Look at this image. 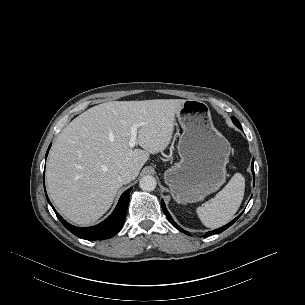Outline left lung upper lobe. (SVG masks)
<instances>
[{"label": "left lung upper lobe", "instance_id": "1", "mask_svg": "<svg viewBox=\"0 0 305 305\" xmlns=\"http://www.w3.org/2000/svg\"><path fill=\"white\" fill-rule=\"evenodd\" d=\"M232 121L234 122V124H235L238 128L242 129V128H241V124L239 123V121H238L235 117H232Z\"/></svg>", "mask_w": 305, "mask_h": 305}]
</instances>
